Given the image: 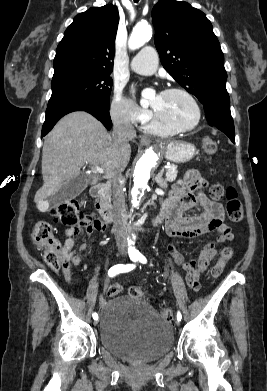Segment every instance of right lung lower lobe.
<instances>
[{
  "mask_svg": "<svg viewBox=\"0 0 267 391\" xmlns=\"http://www.w3.org/2000/svg\"><path fill=\"white\" fill-rule=\"evenodd\" d=\"M73 111H86L101 121L108 130L112 127L109 107L89 101L70 99L47 107L41 137L45 136L61 117Z\"/></svg>",
  "mask_w": 267,
  "mask_h": 391,
  "instance_id": "right-lung-lower-lobe-1",
  "label": "right lung lower lobe"
}]
</instances>
